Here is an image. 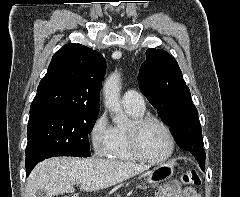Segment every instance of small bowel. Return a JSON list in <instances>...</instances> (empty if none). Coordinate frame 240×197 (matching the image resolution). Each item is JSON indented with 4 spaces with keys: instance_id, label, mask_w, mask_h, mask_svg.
I'll return each instance as SVG.
<instances>
[{
    "instance_id": "1",
    "label": "small bowel",
    "mask_w": 240,
    "mask_h": 197,
    "mask_svg": "<svg viewBox=\"0 0 240 197\" xmlns=\"http://www.w3.org/2000/svg\"><path fill=\"white\" fill-rule=\"evenodd\" d=\"M156 197H160L159 194ZM165 197H200V194L194 188L188 187L182 189L174 185Z\"/></svg>"
}]
</instances>
